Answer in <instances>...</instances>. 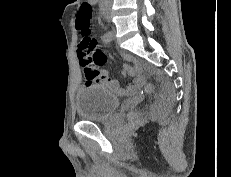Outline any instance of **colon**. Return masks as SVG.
I'll return each mask as SVG.
<instances>
[{
  "instance_id": "obj_1",
  "label": "colon",
  "mask_w": 231,
  "mask_h": 177,
  "mask_svg": "<svg viewBox=\"0 0 231 177\" xmlns=\"http://www.w3.org/2000/svg\"><path fill=\"white\" fill-rule=\"evenodd\" d=\"M92 14V6L88 3H83L77 16V26L82 35L78 57L81 65L85 68V75L89 78L97 75V70L94 66L101 65L106 60L105 54L100 50L98 42L92 35L90 27ZM147 91H151L150 85H147Z\"/></svg>"
}]
</instances>
